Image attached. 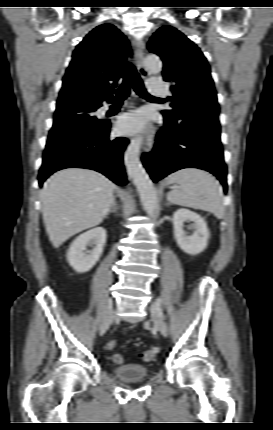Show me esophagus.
<instances>
[{"label": "esophagus", "mask_w": 273, "mask_h": 430, "mask_svg": "<svg viewBox=\"0 0 273 430\" xmlns=\"http://www.w3.org/2000/svg\"><path fill=\"white\" fill-rule=\"evenodd\" d=\"M133 47L135 50V55L137 59V67L138 72L140 73L142 78H146L148 76V71L144 65V43L140 39H133ZM153 137L154 130L153 128L147 133L145 142H144V152L150 153L153 148Z\"/></svg>", "instance_id": "esophagus-1"}]
</instances>
